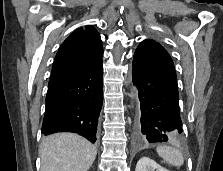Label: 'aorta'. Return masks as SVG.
Listing matches in <instances>:
<instances>
[{"label":"aorta","mask_w":223,"mask_h":171,"mask_svg":"<svg viewBox=\"0 0 223 171\" xmlns=\"http://www.w3.org/2000/svg\"><path fill=\"white\" fill-rule=\"evenodd\" d=\"M134 91H136V88H135V87H133V92H134ZM130 96H131V98H133V97H134V94H133V93H131V95H130Z\"/></svg>","instance_id":"obj_1"}]
</instances>
